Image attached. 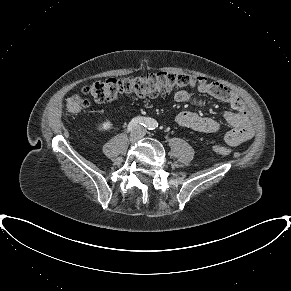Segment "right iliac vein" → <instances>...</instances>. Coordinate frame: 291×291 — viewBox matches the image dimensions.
Returning <instances> with one entry per match:
<instances>
[{
  "label": "right iliac vein",
  "mask_w": 291,
  "mask_h": 291,
  "mask_svg": "<svg viewBox=\"0 0 291 291\" xmlns=\"http://www.w3.org/2000/svg\"><path fill=\"white\" fill-rule=\"evenodd\" d=\"M137 140V134L136 133H132L130 136V142L134 143Z\"/></svg>",
  "instance_id": "63e3f726"
}]
</instances>
